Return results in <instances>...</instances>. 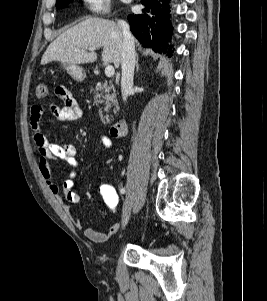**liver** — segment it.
Returning <instances> with one entry per match:
<instances>
[{
	"mask_svg": "<svg viewBox=\"0 0 267 301\" xmlns=\"http://www.w3.org/2000/svg\"><path fill=\"white\" fill-rule=\"evenodd\" d=\"M123 33L120 25L109 19L89 17L55 39L41 59V65L51 61L85 64L96 61L97 54L89 47H103L102 61L119 68L122 59Z\"/></svg>",
	"mask_w": 267,
	"mask_h": 301,
	"instance_id": "liver-1",
	"label": "liver"
}]
</instances>
